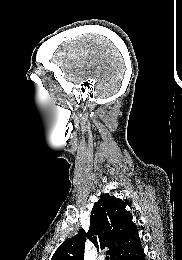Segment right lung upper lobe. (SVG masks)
Wrapping results in <instances>:
<instances>
[{
	"instance_id": "1",
	"label": "right lung upper lobe",
	"mask_w": 182,
	"mask_h": 260,
	"mask_svg": "<svg viewBox=\"0 0 182 260\" xmlns=\"http://www.w3.org/2000/svg\"><path fill=\"white\" fill-rule=\"evenodd\" d=\"M125 207L126 202L116 197L100 195L91 211L89 232L80 229L79 234L66 239L51 260H84L86 237L97 250L109 247L107 253L111 260H115L140 239L132 215Z\"/></svg>"
}]
</instances>
